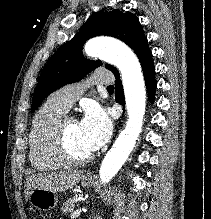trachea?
Instances as JSON below:
<instances>
[{"instance_id":"3493384b","label":"trachea","mask_w":211,"mask_h":219,"mask_svg":"<svg viewBox=\"0 0 211 219\" xmlns=\"http://www.w3.org/2000/svg\"><path fill=\"white\" fill-rule=\"evenodd\" d=\"M107 89L113 90L114 86L110 85V86L107 87Z\"/></svg>"}]
</instances>
